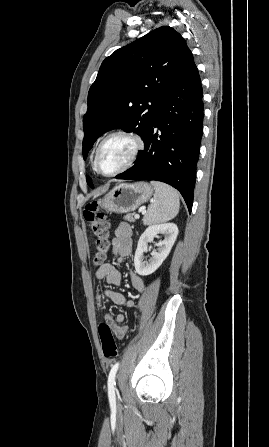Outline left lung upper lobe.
Masks as SVG:
<instances>
[{"label": "left lung upper lobe", "instance_id": "1", "mask_svg": "<svg viewBox=\"0 0 269 447\" xmlns=\"http://www.w3.org/2000/svg\"><path fill=\"white\" fill-rule=\"evenodd\" d=\"M189 48L163 26L115 51L101 64L83 117V158L103 133L121 128L145 140L160 103ZM87 183L93 188L91 178Z\"/></svg>", "mask_w": 269, "mask_h": 447}]
</instances>
